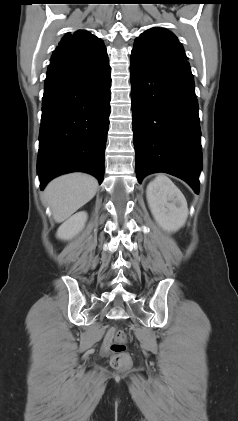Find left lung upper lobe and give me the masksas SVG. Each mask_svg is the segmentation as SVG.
Returning a JSON list of instances; mask_svg holds the SVG:
<instances>
[{"mask_svg":"<svg viewBox=\"0 0 238 421\" xmlns=\"http://www.w3.org/2000/svg\"><path fill=\"white\" fill-rule=\"evenodd\" d=\"M133 53L149 59L187 58L177 37L165 28H152L135 41Z\"/></svg>","mask_w":238,"mask_h":421,"instance_id":"left-lung-upper-lobe-1","label":"left lung upper lobe"}]
</instances>
